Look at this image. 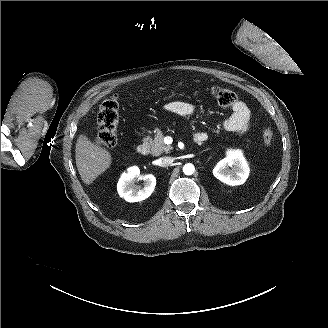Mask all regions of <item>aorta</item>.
Returning a JSON list of instances; mask_svg holds the SVG:
<instances>
[{"mask_svg": "<svg viewBox=\"0 0 328 328\" xmlns=\"http://www.w3.org/2000/svg\"><path fill=\"white\" fill-rule=\"evenodd\" d=\"M195 171V167L191 163H187L183 166V172L185 175H192Z\"/></svg>", "mask_w": 328, "mask_h": 328, "instance_id": "1", "label": "aorta"}]
</instances>
